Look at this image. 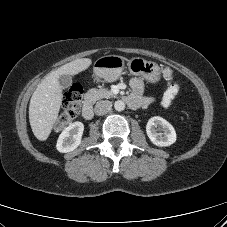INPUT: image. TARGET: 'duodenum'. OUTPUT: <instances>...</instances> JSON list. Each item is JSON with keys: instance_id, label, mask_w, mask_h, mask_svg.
<instances>
[{"instance_id": "410a0bca", "label": "duodenum", "mask_w": 227, "mask_h": 227, "mask_svg": "<svg viewBox=\"0 0 227 227\" xmlns=\"http://www.w3.org/2000/svg\"><path fill=\"white\" fill-rule=\"evenodd\" d=\"M128 104L133 107V103L127 99ZM94 112H93V106L90 102H85L82 108V116L86 119V120H90L93 118Z\"/></svg>"}]
</instances>
